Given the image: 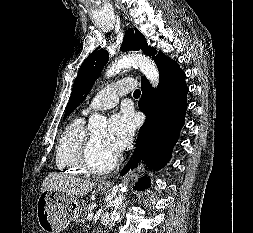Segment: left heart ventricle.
<instances>
[{
	"label": "left heart ventricle",
	"mask_w": 253,
	"mask_h": 233,
	"mask_svg": "<svg viewBox=\"0 0 253 233\" xmlns=\"http://www.w3.org/2000/svg\"><path fill=\"white\" fill-rule=\"evenodd\" d=\"M105 132L104 131H99L92 133V137L95 142V159L98 162L104 163L108 161L110 158L114 157L116 153L110 151L107 149L103 143V137H104Z\"/></svg>",
	"instance_id": "left-heart-ventricle-1"
}]
</instances>
